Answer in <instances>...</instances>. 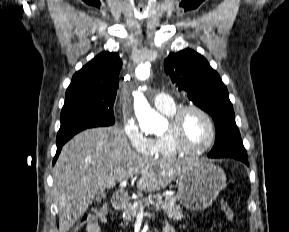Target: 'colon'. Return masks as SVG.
<instances>
[{
	"label": "colon",
	"instance_id": "colon-1",
	"mask_svg": "<svg viewBox=\"0 0 289 232\" xmlns=\"http://www.w3.org/2000/svg\"><path fill=\"white\" fill-rule=\"evenodd\" d=\"M222 210L227 218V220L231 223L235 221V214L232 207L228 202L223 201L221 203ZM104 221V211L103 210H92L88 213L83 214L80 219L76 222V224L70 229V232H79L83 226L88 225L90 223H100Z\"/></svg>",
	"mask_w": 289,
	"mask_h": 232
}]
</instances>
